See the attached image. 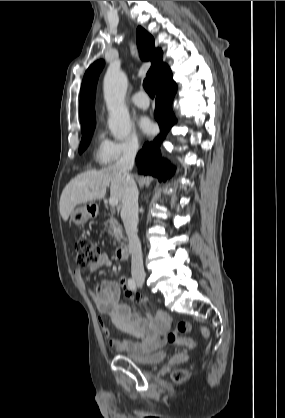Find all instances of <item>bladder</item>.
Instances as JSON below:
<instances>
[{"instance_id":"31cf9c89","label":"bladder","mask_w":285,"mask_h":418,"mask_svg":"<svg viewBox=\"0 0 285 418\" xmlns=\"http://www.w3.org/2000/svg\"><path fill=\"white\" fill-rule=\"evenodd\" d=\"M125 356L141 365L156 364L162 362L166 354L163 350H153L147 352L128 351Z\"/></svg>"}]
</instances>
